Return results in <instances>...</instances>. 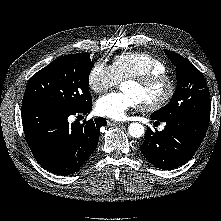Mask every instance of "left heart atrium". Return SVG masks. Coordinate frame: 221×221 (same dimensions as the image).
I'll return each instance as SVG.
<instances>
[{
  "label": "left heart atrium",
  "mask_w": 221,
  "mask_h": 221,
  "mask_svg": "<svg viewBox=\"0 0 221 221\" xmlns=\"http://www.w3.org/2000/svg\"><path fill=\"white\" fill-rule=\"evenodd\" d=\"M136 106L137 101L132 95L125 92H114L99 98L95 108L100 116L123 120L128 111Z\"/></svg>",
  "instance_id": "39dd6f15"
}]
</instances>
